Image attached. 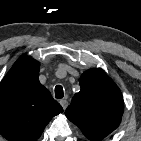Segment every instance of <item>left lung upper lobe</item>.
I'll use <instances>...</instances> for the list:
<instances>
[{
  "label": "left lung upper lobe",
  "instance_id": "5c2ea615",
  "mask_svg": "<svg viewBox=\"0 0 141 141\" xmlns=\"http://www.w3.org/2000/svg\"><path fill=\"white\" fill-rule=\"evenodd\" d=\"M81 90L65 111L92 141H99L114 131L121 122L124 102L120 89L101 69L89 70L79 79Z\"/></svg>",
  "mask_w": 141,
  "mask_h": 141
}]
</instances>
